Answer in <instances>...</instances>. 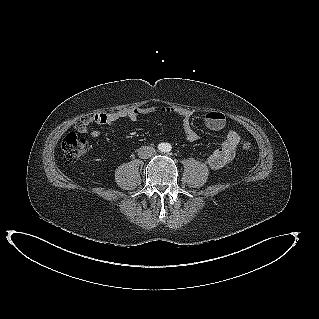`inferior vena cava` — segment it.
Masks as SVG:
<instances>
[{
  "label": "inferior vena cava",
  "mask_w": 319,
  "mask_h": 319,
  "mask_svg": "<svg viewBox=\"0 0 319 319\" xmlns=\"http://www.w3.org/2000/svg\"><path fill=\"white\" fill-rule=\"evenodd\" d=\"M155 153V149L152 146H142L138 150V156L141 159H147L153 156Z\"/></svg>",
  "instance_id": "obj_1"
}]
</instances>
